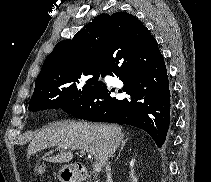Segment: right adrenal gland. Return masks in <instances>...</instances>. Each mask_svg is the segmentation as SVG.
I'll use <instances>...</instances> for the list:
<instances>
[{
	"label": "right adrenal gland",
	"instance_id": "1",
	"mask_svg": "<svg viewBox=\"0 0 211 182\" xmlns=\"http://www.w3.org/2000/svg\"><path fill=\"white\" fill-rule=\"evenodd\" d=\"M127 140H128V139H124V140L122 141V143H121V148H120V150H119V153H118V156H117V158H116V161H117L118 158L120 157L121 151L123 150V148H124V146H125Z\"/></svg>",
	"mask_w": 211,
	"mask_h": 182
}]
</instances>
